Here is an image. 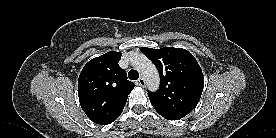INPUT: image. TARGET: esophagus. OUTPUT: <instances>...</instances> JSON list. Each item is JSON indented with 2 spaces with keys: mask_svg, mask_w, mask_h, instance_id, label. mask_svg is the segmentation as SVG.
Listing matches in <instances>:
<instances>
[{
  "mask_svg": "<svg viewBox=\"0 0 276 138\" xmlns=\"http://www.w3.org/2000/svg\"><path fill=\"white\" fill-rule=\"evenodd\" d=\"M138 85L141 86V87H144L145 86V80L144 78H139L138 81H137Z\"/></svg>",
  "mask_w": 276,
  "mask_h": 138,
  "instance_id": "esophagus-1",
  "label": "esophagus"
}]
</instances>
